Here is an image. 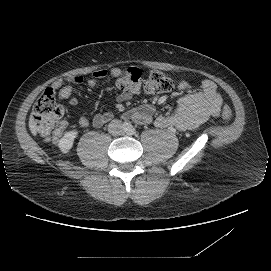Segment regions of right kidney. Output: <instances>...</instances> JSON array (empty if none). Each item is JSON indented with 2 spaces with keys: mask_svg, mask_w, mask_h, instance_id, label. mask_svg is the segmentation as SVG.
Instances as JSON below:
<instances>
[{
  "mask_svg": "<svg viewBox=\"0 0 271 271\" xmlns=\"http://www.w3.org/2000/svg\"><path fill=\"white\" fill-rule=\"evenodd\" d=\"M75 137V133L68 132L60 141V147L63 151H68L72 146L73 139Z\"/></svg>",
  "mask_w": 271,
  "mask_h": 271,
  "instance_id": "obj_1",
  "label": "right kidney"
}]
</instances>
